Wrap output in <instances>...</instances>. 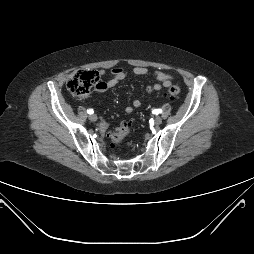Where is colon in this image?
Listing matches in <instances>:
<instances>
[{
  "mask_svg": "<svg viewBox=\"0 0 254 254\" xmlns=\"http://www.w3.org/2000/svg\"><path fill=\"white\" fill-rule=\"evenodd\" d=\"M100 86L99 73L96 71L80 70L72 73L67 80V88L70 93L80 99L86 98L93 88ZM180 94L178 86H171L167 90V96L175 99ZM131 123L124 122L120 127L109 134L115 146L122 144L131 133Z\"/></svg>",
  "mask_w": 254,
  "mask_h": 254,
  "instance_id": "5ec220e1",
  "label": "colon"
}]
</instances>
